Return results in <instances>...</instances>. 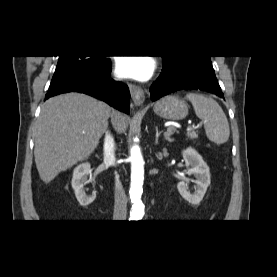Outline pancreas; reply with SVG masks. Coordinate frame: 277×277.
<instances>
[{
    "instance_id": "obj_1",
    "label": "pancreas",
    "mask_w": 277,
    "mask_h": 277,
    "mask_svg": "<svg viewBox=\"0 0 277 277\" xmlns=\"http://www.w3.org/2000/svg\"><path fill=\"white\" fill-rule=\"evenodd\" d=\"M187 136L190 138V139H195L198 137V135L195 133V132H189L187 133Z\"/></svg>"
}]
</instances>
